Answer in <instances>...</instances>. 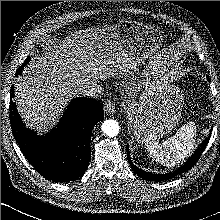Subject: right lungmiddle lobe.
Wrapping results in <instances>:
<instances>
[{
	"label": "right lung middle lobe",
	"mask_w": 220,
	"mask_h": 220,
	"mask_svg": "<svg viewBox=\"0 0 220 220\" xmlns=\"http://www.w3.org/2000/svg\"><path fill=\"white\" fill-rule=\"evenodd\" d=\"M29 61H30V58H27V59L24 61V64L16 71V75H20V74H21L23 67H24L27 63H29Z\"/></svg>",
	"instance_id": "1"
}]
</instances>
